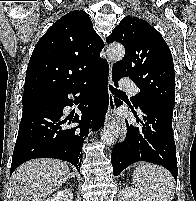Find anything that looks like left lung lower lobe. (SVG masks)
Wrapping results in <instances>:
<instances>
[{
    "instance_id": "1",
    "label": "left lung lower lobe",
    "mask_w": 196,
    "mask_h": 201,
    "mask_svg": "<svg viewBox=\"0 0 196 201\" xmlns=\"http://www.w3.org/2000/svg\"><path fill=\"white\" fill-rule=\"evenodd\" d=\"M112 79L117 85L119 79ZM125 102L130 105L128 101ZM122 104L123 102L119 101L117 107ZM139 107L143 113L141 118L132 106L131 109L137 123L140 122L142 126L126 123V138L112 150L113 174L117 176L132 163L146 161L167 168L177 180L176 146L172 130L173 108L155 101H143Z\"/></svg>"
}]
</instances>
